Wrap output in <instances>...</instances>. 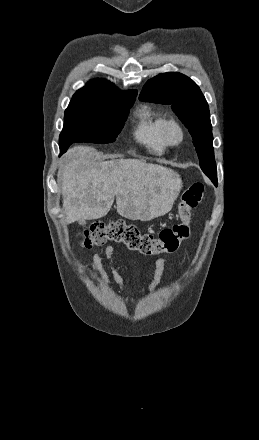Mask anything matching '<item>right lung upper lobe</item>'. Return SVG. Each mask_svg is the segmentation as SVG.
<instances>
[{
	"label": "right lung upper lobe",
	"instance_id": "1",
	"mask_svg": "<svg viewBox=\"0 0 259 440\" xmlns=\"http://www.w3.org/2000/svg\"><path fill=\"white\" fill-rule=\"evenodd\" d=\"M136 95V90L121 92L106 80L93 79L73 95L70 103L109 107L115 103L135 98Z\"/></svg>",
	"mask_w": 259,
	"mask_h": 440
}]
</instances>
